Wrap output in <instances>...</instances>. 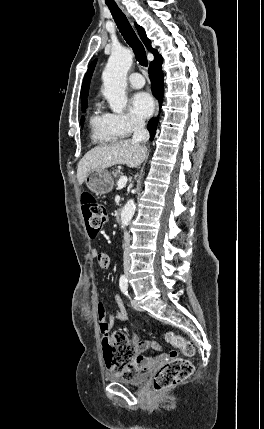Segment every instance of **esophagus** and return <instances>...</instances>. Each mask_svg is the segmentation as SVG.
I'll use <instances>...</instances> for the list:
<instances>
[{"label": "esophagus", "mask_w": 264, "mask_h": 429, "mask_svg": "<svg viewBox=\"0 0 264 429\" xmlns=\"http://www.w3.org/2000/svg\"><path fill=\"white\" fill-rule=\"evenodd\" d=\"M122 9L124 10V8L122 7ZM126 12V11H125ZM158 114V103L156 102V109H155V113L154 116H157Z\"/></svg>", "instance_id": "esophagus-1"}]
</instances>
